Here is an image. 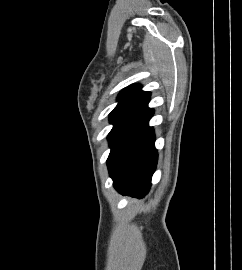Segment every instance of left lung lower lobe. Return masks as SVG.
I'll use <instances>...</instances> for the list:
<instances>
[{
	"instance_id": "left-lung-lower-lobe-1",
	"label": "left lung lower lobe",
	"mask_w": 242,
	"mask_h": 270,
	"mask_svg": "<svg viewBox=\"0 0 242 270\" xmlns=\"http://www.w3.org/2000/svg\"><path fill=\"white\" fill-rule=\"evenodd\" d=\"M149 98L119 120L108 134L111 152L107 159L114 187L122 194L143 197L151 186L157 164L155 136L148 121L153 109Z\"/></svg>"
}]
</instances>
